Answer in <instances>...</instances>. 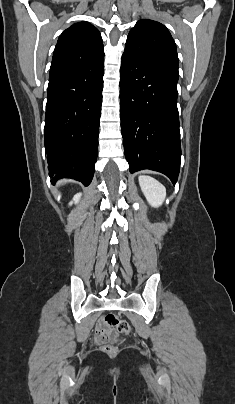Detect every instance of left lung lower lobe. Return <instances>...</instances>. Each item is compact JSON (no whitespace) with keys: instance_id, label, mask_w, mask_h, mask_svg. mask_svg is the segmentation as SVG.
Wrapping results in <instances>:
<instances>
[{"instance_id":"left-lung-lower-lobe-1","label":"left lung lower lobe","mask_w":235,"mask_h":404,"mask_svg":"<svg viewBox=\"0 0 235 404\" xmlns=\"http://www.w3.org/2000/svg\"><path fill=\"white\" fill-rule=\"evenodd\" d=\"M179 74L124 52L120 113L124 152L131 173L151 169L175 185L181 162L177 82Z\"/></svg>"}]
</instances>
